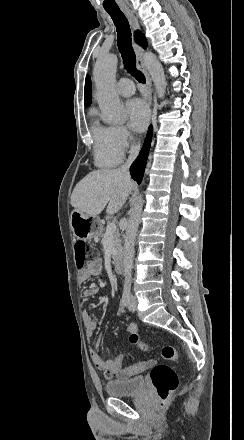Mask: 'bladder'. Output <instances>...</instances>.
Here are the masks:
<instances>
[{
  "label": "bladder",
  "instance_id": "obj_1",
  "mask_svg": "<svg viewBox=\"0 0 244 440\" xmlns=\"http://www.w3.org/2000/svg\"><path fill=\"white\" fill-rule=\"evenodd\" d=\"M145 389L144 377H134L129 380L107 382L106 393L117 396H135Z\"/></svg>",
  "mask_w": 244,
  "mask_h": 440
}]
</instances>
